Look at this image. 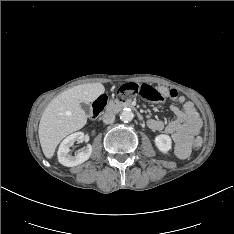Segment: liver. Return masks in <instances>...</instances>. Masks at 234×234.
<instances>
[{
    "instance_id": "obj_1",
    "label": "liver",
    "mask_w": 234,
    "mask_h": 234,
    "mask_svg": "<svg viewBox=\"0 0 234 234\" xmlns=\"http://www.w3.org/2000/svg\"><path fill=\"white\" fill-rule=\"evenodd\" d=\"M105 92L101 83L75 86L55 97L45 108L39 123V140L47 158L54 155L61 140L85 126L87 115L81 103L89 104Z\"/></svg>"
}]
</instances>
